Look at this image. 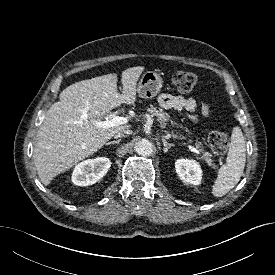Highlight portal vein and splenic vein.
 I'll return each mask as SVG.
<instances>
[{"instance_id":"portal-vein-and-splenic-vein-1","label":"portal vein and splenic vein","mask_w":275,"mask_h":275,"mask_svg":"<svg viewBox=\"0 0 275 275\" xmlns=\"http://www.w3.org/2000/svg\"><path fill=\"white\" fill-rule=\"evenodd\" d=\"M128 122L126 117H121L118 115H112L111 117H107L104 121L96 122L97 126L103 128H109L113 126L123 125ZM187 147L194 153L200 154V151L193 147L192 145L187 144Z\"/></svg>"}]
</instances>
